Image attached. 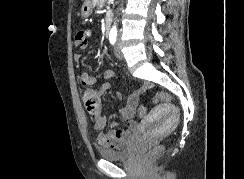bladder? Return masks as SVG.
<instances>
[{
	"instance_id": "bladder-1",
	"label": "bladder",
	"mask_w": 244,
	"mask_h": 179,
	"mask_svg": "<svg viewBox=\"0 0 244 179\" xmlns=\"http://www.w3.org/2000/svg\"><path fill=\"white\" fill-rule=\"evenodd\" d=\"M130 148L123 150H107V149H98V155L103 157L106 160H120L128 157L130 153Z\"/></svg>"
}]
</instances>
